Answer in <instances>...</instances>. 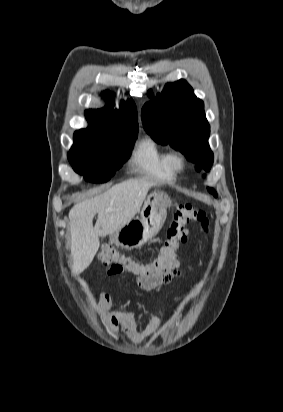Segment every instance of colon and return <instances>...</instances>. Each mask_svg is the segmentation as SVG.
Returning a JSON list of instances; mask_svg holds the SVG:
<instances>
[{"mask_svg": "<svg viewBox=\"0 0 283 412\" xmlns=\"http://www.w3.org/2000/svg\"><path fill=\"white\" fill-rule=\"evenodd\" d=\"M191 224L197 226L200 231L207 232L209 228L207 214L195 205L181 204L173 214L167 231V240L153 260L126 259L108 244L101 246L99 259L107 266L108 274L116 275L129 272L157 281L170 271L174 257L189 236Z\"/></svg>", "mask_w": 283, "mask_h": 412, "instance_id": "1", "label": "colon"}]
</instances>
